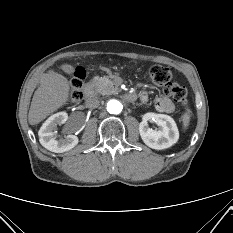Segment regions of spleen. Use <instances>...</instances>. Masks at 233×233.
<instances>
[{
	"label": "spleen",
	"mask_w": 233,
	"mask_h": 233,
	"mask_svg": "<svg viewBox=\"0 0 233 233\" xmlns=\"http://www.w3.org/2000/svg\"><path fill=\"white\" fill-rule=\"evenodd\" d=\"M188 121H189V115H186L185 116V122H184L185 127L188 125Z\"/></svg>",
	"instance_id": "3e777b00"
}]
</instances>
